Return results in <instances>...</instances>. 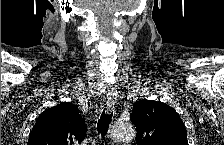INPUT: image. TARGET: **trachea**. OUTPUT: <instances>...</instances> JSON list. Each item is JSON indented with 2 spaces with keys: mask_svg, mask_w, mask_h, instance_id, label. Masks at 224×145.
Masks as SVG:
<instances>
[{
  "mask_svg": "<svg viewBox=\"0 0 224 145\" xmlns=\"http://www.w3.org/2000/svg\"><path fill=\"white\" fill-rule=\"evenodd\" d=\"M111 118H112V113L108 114V113H105V111H103L102 115L100 116V119L97 124V129L101 133L102 136L106 135L109 124L111 122Z\"/></svg>",
  "mask_w": 224,
  "mask_h": 145,
  "instance_id": "trachea-1",
  "label": "trachea"
}]
</instances>
